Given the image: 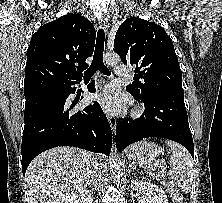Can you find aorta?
Instances as JSON below:
<instances>
[{"instance_id":"1","label":"aorta","mask_w":222,"mask_h":203,"mask_svg":"<svg viewBox=\"0 0 222 203\" xmlns=\"http://www.w3.org/2000/svg\"><path fill=\"white\" fill-rule=\"evenodd\" d=\"M107 65L114 66L117 65L120 61V57L116 53H107L104 57ZM116 149L112 150L110 154V172L113 180L119 182L123 176L122 163L118 154H116Z\"/></svg>"}]
</instances>
